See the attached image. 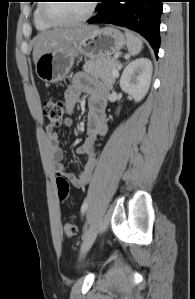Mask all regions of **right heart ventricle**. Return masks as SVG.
<instances>
[{"label": "right heart ventricle", "instance_id": "e07e8e85", "mask_svg": "<svg viewBox=\"0 0 195 299\" xmlns=\"http://www.w3.org/2000/svg\"><path fill=\"white\" fill-rule=\"evenodd\" d=\"M42 1H39V3L36 4V7L34 9V12H33V22H34V25L35 27L38 29V30H41V31H45V30H48L50 28H52L53 26L49 23H47L41 16V6H42Z\"/></svg>", "mask_w": 195, "mask_h": 299}]
</instances>
